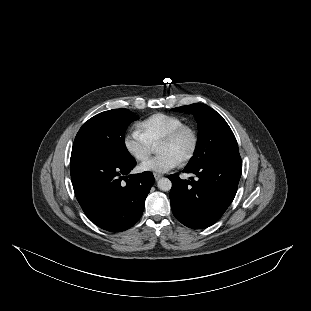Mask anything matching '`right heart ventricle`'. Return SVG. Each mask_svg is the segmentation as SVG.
I'll use <instances>...</instances> for the list:
<instances>
[{
	"label": "right heart ventricle",
	"instance_id": "1",
	"mask_svg": "<svg viewBox=\"0 0 311 311\" xmlns=\"http://www.w3.org/2000/svg\"><path fill=\"white\" fill-rule=\"evenodd\" d=\"M184 122L185 119L178 115L157 112L142 119L138 126L147 141L155 146L170 131Z\"/></svg>",
	"mask_w": 311,
	"mask_h": 311
}]
</instances>
